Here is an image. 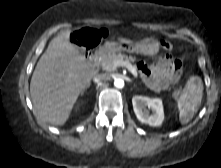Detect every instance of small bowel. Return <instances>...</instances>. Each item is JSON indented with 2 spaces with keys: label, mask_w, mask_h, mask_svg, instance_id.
<instances>
[{
  "label": "small bowel",
  "mask_w": 221,
  "mask_h": 168,
  "mask_svg": "<svg viewBox=\"0 0 221 168\" xmlns=\"http://www.w3.org/2000/svg\"><path fill=\"white\" fill-rule=\"evenodd\" d=\"M138 69L150 88L161 90L178 81L181 63L173 53H166L150 65L138 63Z\"/></svg>",
  "instance_id": "1"
}]
</instances>
